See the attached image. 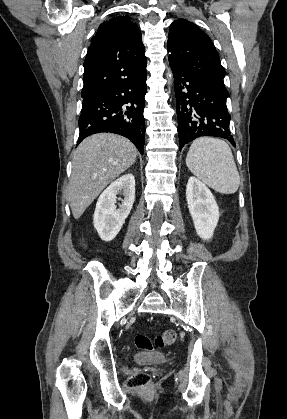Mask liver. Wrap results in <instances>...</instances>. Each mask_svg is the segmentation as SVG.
<instances>
[{"instance_id":"1","label":"liver","mask_w":287,"mask_h":419,"mask_svg":"<svg viewBox=\"0 0 287 419\" xmlns=\"http://www.w3.org/2000/svg\"><path fill=\"white\" fill-rule=\"evenodd\" d=\"M136 147L127 138L98 133L84 139L72 158L68 200L75 219L103 189L135 162Z\"/></svg>"}]
</instances>
